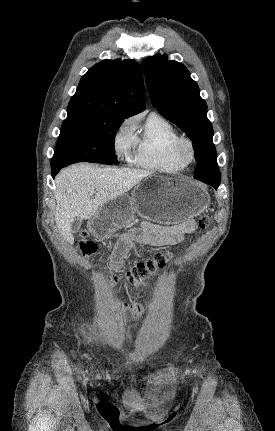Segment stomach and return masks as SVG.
Wrapping results in <instances>:
<instances>
[{"instance_id":"1","label":"stomach","mask_w":275,"mask_h":431,"mask_svg":"<svg viewBox=\"0 0 275 431\" xmlns=\"http://www.w3.org/2000/svg\"><path fill=\"white\" fill-rule=\"evenodd\" d=\"M149 179L151 186L140 183L131 196L122 195L100 206L88 224L90 232L96 238L106 239L127 224L135 212L163 225H175L201 215L210 206L209 195L186 178Z\"/></svg>"}]
</instances>
